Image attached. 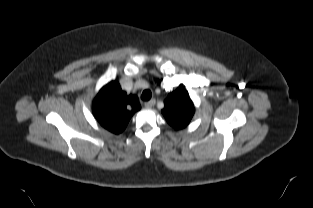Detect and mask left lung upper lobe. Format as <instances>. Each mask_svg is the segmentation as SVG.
<instances>
[{
    "instance_id": "left-lung-upper-lobe-1",
    "label": "left lung upper lobe",
    "mask_w": 313,
    "mask_h": 208,
    "mask_svg": "<svg viewBox=\"0 0 313 208\" xmlns=\"http://www.w3.org/2000/svg\"><path fill=\"white\" fill-rule=\"evenodd\" d=\"M162 114L176 130L185 128L194 114V105L186 89L180 85L164 101Z\"/></svg>"
}]
</instances>
